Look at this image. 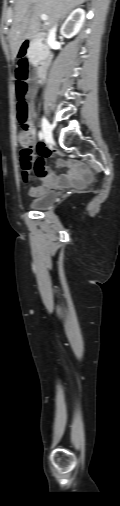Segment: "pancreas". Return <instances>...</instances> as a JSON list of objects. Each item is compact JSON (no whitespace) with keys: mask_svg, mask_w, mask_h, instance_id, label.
I'll list each match as a JSON object with an SVG mask.
<instances>
[{"mask_svg":"<svg viewBox=\"0 0 120 506\" xmlns=\"http://www.w3.org/2000/svg\"><path fill=\"white\" fill-rule=\"evenodd\" d=\"M44 46L41 43H33L28 51L30 61L37 62L44 54Z\"/></svg>","mask_w":120,"mask_h":506,"instance_id":"1","label":"pancreas"}]
</instances>
